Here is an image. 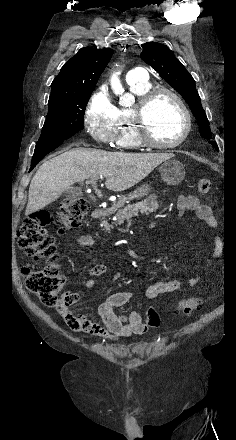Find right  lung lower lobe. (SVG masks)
<instances>
[{
	"instance_id": "98d812e1",
	"label": "right lung lower lobe",
	"mask_w": 236,
	"mask_h": 440,
	"mask_svg": "<svg viewBox=\"0 0 236 440\" xmlns=\"http://www.w3.org/2000/svg\"><path fill=\"white\" fill-rule=\"evenodd\" d=\"M66 139L67 138H61L56 140L37 142L34 155L32 157L31 168L29 171H31L39 163V161L44 158L45 155L56 149Z\"/></svg>"
}]
</instances>
